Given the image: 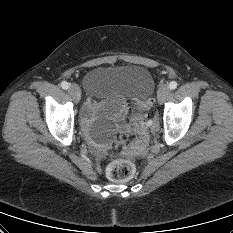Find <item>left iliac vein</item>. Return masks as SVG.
Segmentation results:
<instances>
[{
  "label": "left iliac vein",
  "instance_id": "left-iliac-vein-1",
  "mask_svg": "<svg viewBox=\"0 0 233 233\" xmlns=\"http://www.w3.org/2000/svg\"><path fill=\"white\" fill-rule=\"evenodd\" d=\"M169 93H170L169 87L167 85H161L157 92L158 102L160 104L163 103Z\"/></svg>",
  "mask_w": 233,
  "mask_h": 233
}]
</instances>
